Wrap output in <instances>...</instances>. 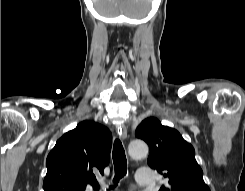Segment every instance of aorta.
I'll return each mask as SVG.
<instances>
[{
    "label": "aorta",
    "mask_w": 245,
    "mask_h": 191,
    "mask_svg": "<svg viewBox=\"0 0 245 191\" xmlns=\"http://www.w3.org/2000/svg\"><path fill=\"white\" fill-rule=\"evenodd\" d=\"M128 152L131 158L141 159L146 157L148 154V146L144 141L135 140L132 141L128 146Z\"/></svg>",
    "instance_id": "1"
}]
</instances>
